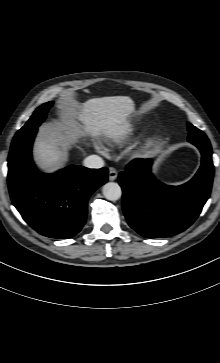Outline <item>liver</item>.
<instances>
[{
    "label": "liver",
    "mask_w": 220,
    "mask_h": 363,
    "mask_svg": "<svg viewBox=\"0 0 220 363\" xmlns=\"http://www.w3.org/2000/svg\"><path fill=\"white\" fill-rule=\"evenodd\" d=\"M134 110V102L127 96L87 100L70 112L81 123V129L75 134L64 135L59 129L52 128L42 130L34 147L37 163L45 169L59 167L67 159L62 148L67 141H75L76 134H89L92 137L112 134L126 122Z\"/></svg>",
    "instance_id": "6515ba94"
}]
</instances>
